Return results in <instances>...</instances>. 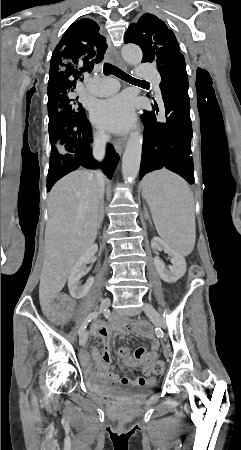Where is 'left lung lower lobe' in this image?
<instances>
[{"label":"left lung lower lobe","instance_id":"left-lung-lower-lobe-1","mask_svg":"<svg viewBox=\"0 0 241 450\" xmlns=\"http://www.w3.org/2000/svg\"><path fill=\"white\" fill-rule=\"evenodd\" d=\"M183 70V81L187 83L174 74L164 77L161 91L166 122H158L154 112L145 110L142 115L145 131L140 179L146 173L164 167L182 176L189 184L194 183L188 76L186 67ZM153 109L158 112L156 104Z\"/></svg>","mask_w":241,"mask_h":450}]
</instances>
